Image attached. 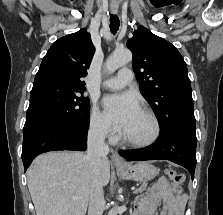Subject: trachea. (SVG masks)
Masks as SVG:
<instances>
[{
    "mask_svg": "<svg viewBox=\"0 0 223 215\" xmlns=\"http://www.w3.org/2000/svg\"><path fill=\"white\" fill-rule=\"evenodd\" d=\"M120 21L117 15H111L110 17V30L112 34H116L119 30Z\"/></svg>",
    "mask_w": 223,
    "mask_h": 215,
    "instance_id": "trachea-1",
    "label": "trachea"
}]
</instances>
